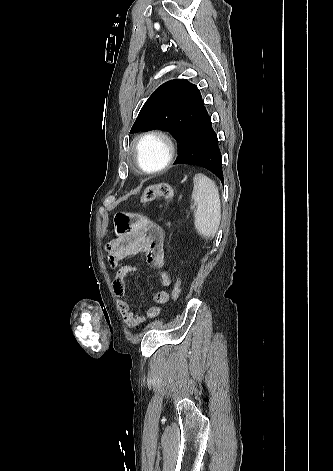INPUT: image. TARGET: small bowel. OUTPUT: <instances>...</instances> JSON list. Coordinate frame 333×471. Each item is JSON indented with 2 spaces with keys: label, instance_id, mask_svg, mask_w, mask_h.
<instances>
[{
  "label": "small bowel",
  "instance_id": "small-bowel-1",
  "mask_svg": "<svg viewBox=\"0 0 333 471\" xmlns=\"http://www.w3.org/2000/svg\"><path fill=\"white\" fill-rule=\"evenodd\" d=\"M114 223L118 236L106 245L108 265L112 269H117L112 284L113 296L125 324L135 328L148 319L160 316L161 305L169 301V293L165 290L157 291L153 296L156 305L150 307L145 315L135 313L127 299L125 278L138 272L139 269L135 265L123 262L143 254L150 267L162 269L165 264V233L155 221L142 215L117 213L114 216ZM161 282L164 287L171 284V278L166 271H161Z\"/></svg>",
  "mask_w": 333,
  "mask_h": 471
}]
</instances>
